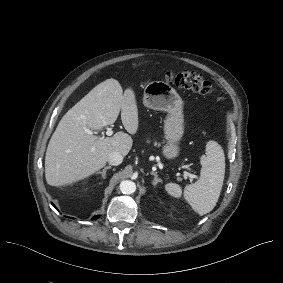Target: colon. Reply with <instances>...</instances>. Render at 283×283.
<instances>
[{"label":"colon","mask_w":283,"mask_h":283,"mask_svg":"<svg viewBox=\"0 0 283 283\" xmlns=\"http://www.w3.org/2000/svg\"><path fill=\"white\" fill-rule=\"evenodd\" d=\"M166 80L178 88L198 94H209L212 91L210 82L194 71L168 72Z\"/></svg>","instance_id":"obj_1"}]
</instances>
